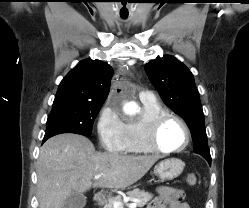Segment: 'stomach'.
Here are the masks:
<instances>
[{
    "label": "stomach",
    "mask_w": 249,
    "mask_h": 208,
    "mask_svg": "<svg viewBox=\"0 0 249 208\" xmlns=\"http://www.w3.org/2000/svg\"><path fill=\"white\" fill-rule=\"evenodd\" d=\"M184 169V163L178 158H169L159 162L154 170L160 181L173 180L178 177Z\"/></svg>",
    "instance_id": "obj_1"
}]
</instances>
